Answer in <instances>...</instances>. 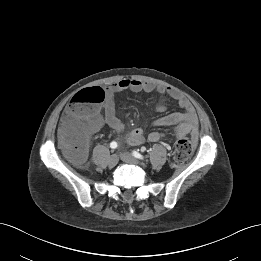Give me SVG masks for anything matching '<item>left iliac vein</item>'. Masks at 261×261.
Masks as SVG:
<instances>
[{"label": "left iliac vein", "instance_id": "obj_1", "mask_svg": "<svg viewBox=\"0 0 261 261\" xmlns=\"http://www.w3.org/2000/svg\"><path fill=\"white\" fill-rule=\"evenodd\" d=\"M120 158L126 163L135 164V165L140 164L139 160H137L134 156H132L130 153L127 152L120 153Z\"/></svg>", "mask_w": 261, "mask_h": 261}]
</instances>
